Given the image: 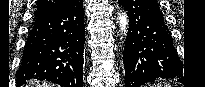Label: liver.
Listing matches in <instances>:
<instances>
[{
    "instance_id": "6515ba94",
    "label": "liver",
    "mask_w": 205,
    "mask_h": 87,
    "mask_svg": "<svg viewBox=\"0 0 205 87\" xmlns=\"http://www.w3.org/2000/svg\"><path fill=\"white\" fill-rule=\"evenodd\" d=\"M26 87H53V85L49 84H40L38 82H32L30 84H27Z\"/></svg>"
}]
</instances>
